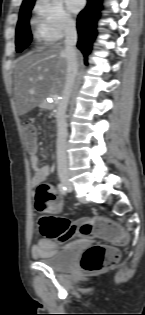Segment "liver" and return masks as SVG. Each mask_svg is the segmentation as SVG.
I'll list each match as a JSON object with an SVG mask.
<instances>
[{"instance_id":"liver-1","label":"liver","mask_w":145,"mask_h":315,"mask_svg":"<svg viewBox=\"0 0 145 315\" xmlns=\"http://www.w3.org/2000/svg\"><path fill=\"white\" fill-rule=\"evenodd\" d=\"M78 63L82 55L77 52ZM64 48L47 45L20 57L14 71V109L24 115L48 95L62 94L66 77ZM42 78V79H40Z\"/></svg>"}]
</instances>
